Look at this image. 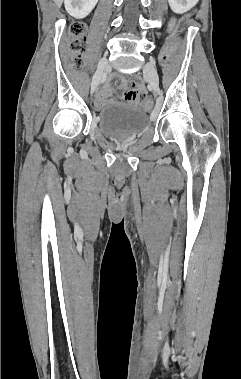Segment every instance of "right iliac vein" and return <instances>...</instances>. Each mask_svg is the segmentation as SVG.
Wrapping results in <instances>:
<instances>
[{
    "instance_id": "63e3f726",
    "label": "right iliac vein",
    "mask_w": 241,
    "mask_h": 379,
    "mask_svg": "<svg viewBox=\"0 0 241 379\" xmlns=\"http://www.w3.org/2000/svg\"><path fill=\"white\" fill-rule=\"evenodd\" d=\"M109 62L106 58L100 60L91 83V94L95 93L105 72L109 70Z\"/></svg>"
}]
</instances>
